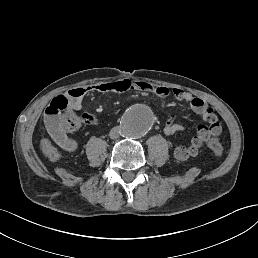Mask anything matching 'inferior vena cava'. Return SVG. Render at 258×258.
Masks as SVG:
<instances>
[{
    "label": "inferior vena cava",
    "instance_id": "inferior-vena-cava-1",
    "mask_svg": "<svg viewBox=\"0 0 258 258\" xmlns=\"http://www.w3.org/2000/svg\"><path fill=\"white\" fill-rule=\"evenodd\" d=\"M120 127L119 126H115L113 127L111 130H110V133H109V136L111 139H116L119 137V134H120Z\"/></svg>",
    "mask_w": 258,
    "mask_h": 258
}]
</instances>
